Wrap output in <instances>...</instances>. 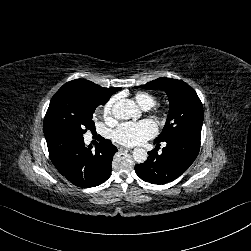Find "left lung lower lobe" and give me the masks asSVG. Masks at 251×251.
I'll use <instances>...</instances> for the list:
<instances>
[{"instance_id":"0a47b994","label":"left lung lower lobe","mask_w":251,"mask_h":251,"mask_svg":"<svg viewBox=\"0 0 251 251\" xmlns=\"http://www.w3.org/2000/svg\"><path fill=\"white\" fill-rule=\"evenodd\" d=\"M165 142L162 153L154 149L144 163L135 165L137 175L145 182L166 184L177 179L193 163L200 148V139L187 135L174 136Z\"/></svg>"}]
</instances>
